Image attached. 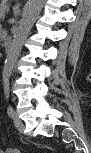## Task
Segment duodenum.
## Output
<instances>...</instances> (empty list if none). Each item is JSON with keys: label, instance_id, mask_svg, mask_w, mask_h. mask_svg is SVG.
Returning <instances> with one entry per match:
<instances>
[{"label": "duodenum", "instance_id": "duodenum-1", "mask_svg": "<svg viewBox=\"0 0 91 153\" xmlns=\"http://www.w3.org/2000/svg\"><path fill=\"white\" fill-rule=\"evenodd\" d=\"M3 43L5 46V50L8 51L12 45V40L8 36H3Z\"/></svg>", "mask_w": 91, "mask_h": 153}]
</instances>
